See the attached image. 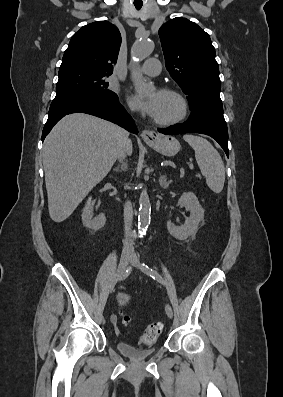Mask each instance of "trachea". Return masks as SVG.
<instances>
[{"label": "trachea", "instance_id": "3493384b", "mask_svg": "<svg viewBox=\"0 0 283 397\" xmlns=\"http://www.w3.org/2000/svg\"><path fill=\"white\" fill-rule=\"evenodd\" d=\"M141 7H142V5H135V8H136L137 10H140Z\"/></svg>", "mask_w": 283, "mask_h": 397}]
</instances>
